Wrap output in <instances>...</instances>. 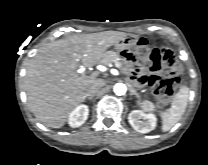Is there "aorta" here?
<instances>
[{"label": "aorta", "instance_id": "obj_1", "mask_svg": "<svg viewBox=\"0 0 208 165\" xmlns=\"http://www.w3.org/2000/svg\"><path fill=\"white\" fill-rule=\"evenodd\" d=\"M113 90H114V93H115L116 95L122 96V95H124V94L126 93L127 87H126V85L123 84V83H116V84L114 85Z\"/></svg>", "mask_w": 208, "mask_h": 165}]
</instances>
